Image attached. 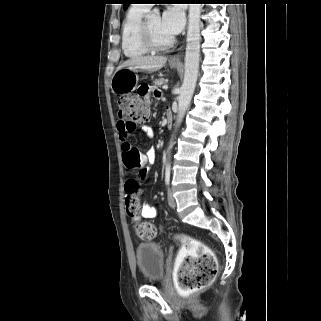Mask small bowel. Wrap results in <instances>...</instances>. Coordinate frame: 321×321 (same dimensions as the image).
Wrapping results in <instances>:
<instances>
[{"label":"small bowel","instance_id":"1","mask_svg":"<svg viewBox=\"0 0 321 321\" xmlns=\"http://www.w3.org/2000/svg\"><path fill=\"white\" fill-rule=\"evenodd\" d=\"M135 92L138 95V97H145V99L143 100V103L145 105H148L150 103V100L148 99L150 88L145 83H138L137 87L135 89ZM154 95H155V97H158V98L161 97V93L159 91H154ZM117 130H118L119 141L121 143L122 156H123V160L125 163L127 157L131 153L136 152L138 150L135 147H133L128 141L129 135L133 130L128 129L124 125V123L121 122L120 120L117 123ZM143 132L149 138H152L154 136V131L149 126L143 127ZM154 156H155L154 151H150L147 155H142L145 162H147L151 158H154ZM140 176L142 178H145L147 176L146 167L141 168ZM157 213L158 212H157L156 207L150 206L148 204H144V205H142L139 214L137 216L133 217V221L137 222L141 219H153L157 216Z\"/></svg>","mask_w":321,"mask_h":321}]
</instances>
